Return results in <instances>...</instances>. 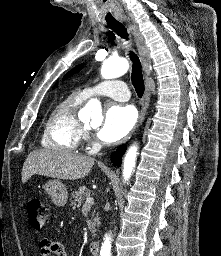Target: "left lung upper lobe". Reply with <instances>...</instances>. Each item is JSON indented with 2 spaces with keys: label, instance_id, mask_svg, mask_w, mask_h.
<instances>
[{
  "label": "left lung upper lobe",
  "instance_id": "left-lung-upper-lobe-1",
  "mask_svg": "<svg viewBox=\"0 0 221 256\" xmlns=\"http://www.w3.org/2000/svg\"><path fill=\"white\" fill-rule=\"evenodd\" d=\"M82 67H83V64L78 65L77 67H75L74 69H72L71 71H69V72L64 76V78H67V77H69V76H71V75L77 73L78 71H80V70L82 69Z\"/></svg>",
  "mask_w": 221,
  "mask_h": 256
}]
</instances>
